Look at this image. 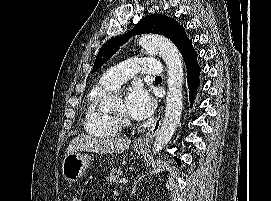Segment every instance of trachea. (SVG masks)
Here are the masks:
<instances>
[{
	"mask_svg": "<svg viewBox=\"0 0 271 201\" xmlns=\"http://www.w3.org/2000/svg\"><path fill=\"white\" fill-rule=\"evenodd\" d=\"M156 79H162L161 76H156Z\"/></svg>",
	"mask_w": 271,
	"mask_h": 201,
	"instance_id": "trachea-1",
	"label": "trachea"
}]
</instances>
